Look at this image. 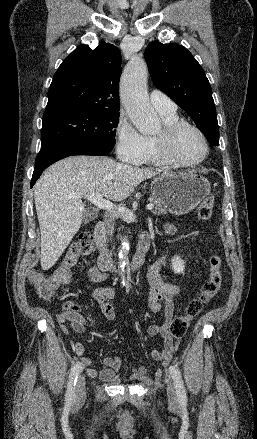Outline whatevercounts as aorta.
I'll return each mask as SVG.
<instances>
[{
	"mask_svg": "<svg viewBox=\"0 0 257 439\" xmlns=\"http://www.w3.org/2000/svg\"><path fill=\"white\" fill-rule=\"evenodd\" d=\"M147 82L146 63L140 57L134 56L121 77L120 96L126 113L142 134L153 133L160 127L159 118L148 100ZM129 250V239L124 236L118 252V264L123 283L126 282L125 269Z\"/></svg>",
	"mask_w": 257,
	"mask_h": 439,
	"instance_id": "762f6f07",
	"label": "aorta"
}]
</instances>
